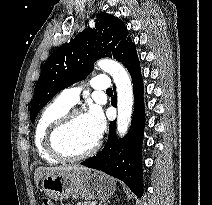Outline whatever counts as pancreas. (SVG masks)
<instances>
[{
  "mask_svg": "<svg viewBox=\"0 0 212 205\" xmlns=\"http://www.w3.org/2000/svg\"><path fill=\"white\" fill-rule=\"evenodd\" d=\"M76 205H95V204L93 201H86V202L77 203Z\"/></svg>",
  "mask_w": 212,
  "mask_h": 205,
  "instance_id": "1",
  "label": "pancreas"
}]
</instances>
